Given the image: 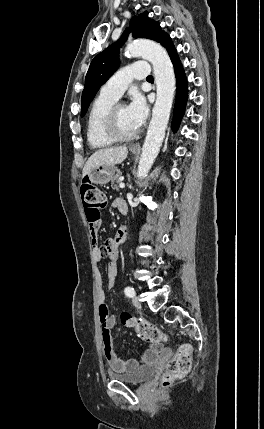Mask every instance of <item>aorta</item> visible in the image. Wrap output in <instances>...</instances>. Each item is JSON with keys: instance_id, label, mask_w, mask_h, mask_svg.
<instances>
[{"instance_id": "obj_1", "label": "aorta", "mask_w": 264, "mask_h": 429, "mask_svg": "<svg viewBox=\"0 0 264 429\" xmlns=\"http://www.w3.org/2000/svg\"><path fill=\"white\" fill-rule=\"evenodd\" d=\"M125 54L129 58L142 57L152 63L157 87V98L138 165L137 176L142 179L150 171L165 137L175 92V75L166 50L154 41L140 39L131 42Z\"/></svg>"}]
</instances>
